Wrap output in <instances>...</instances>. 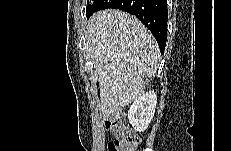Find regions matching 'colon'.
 <instances>
[{"label":"colon","instance_id":"obj_1","mask_svg":"<svg viewBox=\"0 0 231 151\" xmlns=\"http://www.w3.org/2000/svg\"><path fill=\"white\" fill-rule=\"evenodd\" d=\"M107 128L114 134V140L107 145V151H135L139 139L126 123L121 111H114L106 119Z\"/></svg>","mask_w":231,"mask_h":151}]
</instances>
